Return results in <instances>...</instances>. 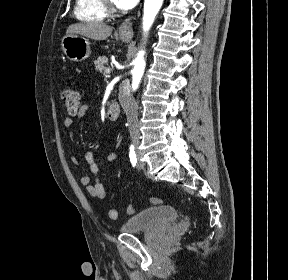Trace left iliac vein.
<instances>
[{"mask_svg": "<svg viewBox=\"0 0 288 280\" xmlns=\"http://www.w3.org/2000/svg\"><path fill=\"white\" fill-rule=\"evenodd\" d=\"M137 168L138 169H143L144 168V163L141 160H138Z\"/></svg>", "mask_w": 288, "mask_h": 280, "instance_id": "left-iliac-vein-1", "label": "left iliac vein"}]
</instances>
